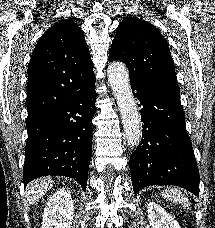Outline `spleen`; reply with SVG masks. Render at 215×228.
<instances>
[{
    "label": "spleen",
    "instance_id": "spleen-1",
    "mask_svg": "<svg viewBox=\"0 0 215 228\" xmlns=\"http://www.w3.org/2000/svg\"><path fill=\"white\" fill-rule=\"evenodd\" d=\"M162 194L165 200H170L173 204H180L183 210H187L190 206L186 196H182L180 190H177V188H168V190H165Z\"/></svg>",
    "mask_w": 215,
    "mask_h": 228
}]
</instances>
